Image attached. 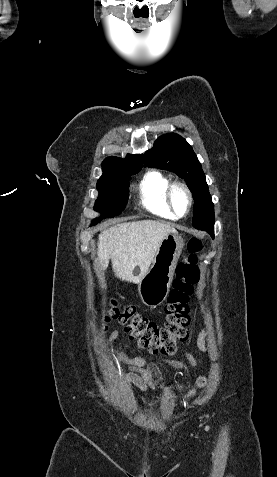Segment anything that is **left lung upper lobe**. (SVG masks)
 I'll return each mask as SVG.
<instances>
[{"instance_id":"left-lung-upper-lobe-1","label":"left lung upper lobe","mask_w":277,"mask_h":477,"mask_svg":"<svg viewBox=\"0 0 277 477\" xmlns=\"http://www.w3.org/2000/svg\"><path fill=\"white\" fill-rule=\"evenodd\" d=\"M144 165L165 169L185 179L193 194V226L197 229L214 224V205L201 164L192 147L176 133L159 137L145 152Z\"/></svg>"}]
</instances>
